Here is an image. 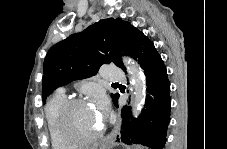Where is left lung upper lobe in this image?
I'll use <instances>...</instances> for the list:
<instances>
[{
  "label": "left lung upper lobe",
  "mask_w": 227,
  "mask_h": 149,
  "mask_svg": "<svg viewBox=\"0 0 227 149\" xmlns=\"http://www.w3.org/2000/svg\"><path fill=\"white\" fill-rule=\"evenodd\" d=\"M136 28L121 19H103L52 46L44 60L42 98L73 80L95 75L103 64L123 68L130 35ZM117 94L112 95L113 100Z\"/></svg>",
  "instance_id": "5c2ea615"
}]
</instances>
